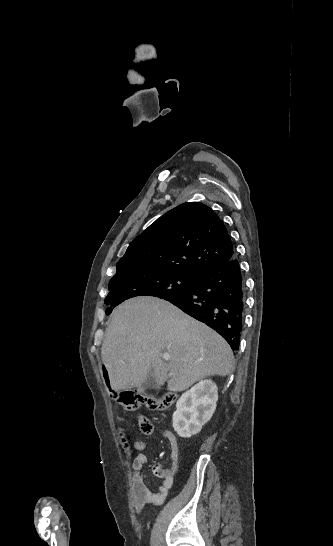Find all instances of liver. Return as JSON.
Wrapping results in <instances>:
<instances>
[{"label": "liver", "mask_w": 333, "mask_h": 546, "mask_svg": "<svg viewBox=\"0 0 333 546\" xmlns=\"http://www.w3.org/2000/svg\"><path fill=\"white\" fill-rule=\"evenodd\" d=\"M169 361L161 359L162 353ZM113 391L138 388L149 373L158 385L182 391L211 375L227 376L233 352L215 331L170 303L128 299L115 308L102 345Z\"/></svg>", "instance_id": "liver-1"}]
</instances>
